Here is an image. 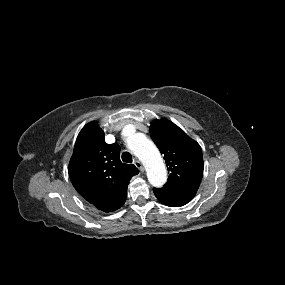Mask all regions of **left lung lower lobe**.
<instances>
[{
  "mask_svg": "<svg viewBox=\"0 0 285 285\" xmlns=\"http://www.w3.org/2000/svg\"><path fill=\"white\" fill-rule=\"evenodd\" d=\"M157 199L170 207H180L190 202L196 192L191 190L162 187L153 189Z\"/></svg>",
  "mask_w": 285,
  "mask_h": 285,
  "instance_id": "0a47b994",
  "label": "left lung lower lobe"
}]
</instances>
